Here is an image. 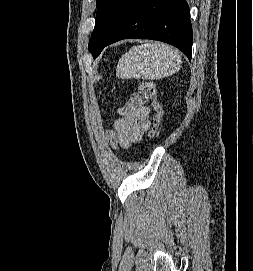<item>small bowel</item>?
Masks as SVG:
<instances>
[{
  "label": "small bowel",
  "instance_id": "small-bowel-1",
  "mask_svg": "<svg viewBox=\"0 0 253 271\" xmlns=\"http://www.w3.org/2000/svg\"><path fill=\"white\" fill-rule=\"evenodd\" d=\"M146 99L147 97L138 93L119 110V117L114 121L113 129L106 134L113 146L129 149L149 130L150 110L144 104Z\"/></svg>",
  "mask_w": 253,
  "mask_h": 271
}]
</instances>
